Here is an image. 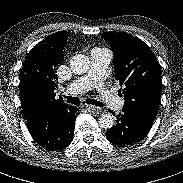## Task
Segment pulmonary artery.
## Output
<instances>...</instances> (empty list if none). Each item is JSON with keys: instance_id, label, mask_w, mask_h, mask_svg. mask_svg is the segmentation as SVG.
I'll list each match as a JSON object with an SVG mask.
<instances>
[{"instance_id": "e3ab8cb5", "label": "pulmonary artery", "mask_w": 183, "mask_h": 183, "mask_svg": "<svg viewBox=\"0 0 183 183\" xmlns=\"http://www.w3.org/2000/svg\"><path fill=\"white\" fill-rule=\"evenodd\" d=\"M111 53L105 49H93L91 52V65L89 71L75 79L66 89L70 94H81L92 88H97L100 98L108 107L121 110L124 100L104 88L101 79L111 61Z\"/></svg>"}]
</instances>
